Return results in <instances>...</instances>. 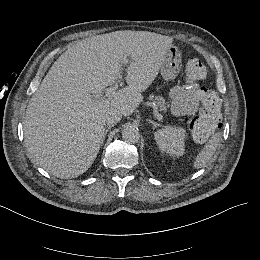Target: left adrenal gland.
<instances>
[{
    "instance_id": "left-adrenal-gland-1",
    "label": "left adrenal gland",
    "mask_w": 260,
    "mask_h": 260,
    "mask_svg": "<svg viewBox=\"0 0 260 260\" xmlns=\"http://www.w3.org/2000/svg\"><path fill=\"white\" fill-rule=\"evenodd\" d=\"M147 121L153 125V129H156L157 127H164L163 124L157 123L153 120L148 119Z\"/></svg>"
}]
</instances>
